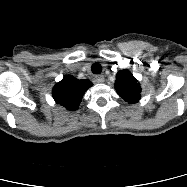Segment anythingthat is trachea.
<instances>
[{"instance_id":"trachea-1","label":"trachea","mask_w":187,"mask_h":187,"mask_svg":"<svg viewBox=\"0 0 187 187\" xmlns=\"http://www.w3.org/2000/svg\"><path fill=\"white\" fill-rule=\"evenodd\" d=\"M92 73L93 74H100L102 72V67L99 63H94L91 67Z\"/></svg>"}]
</instances>
